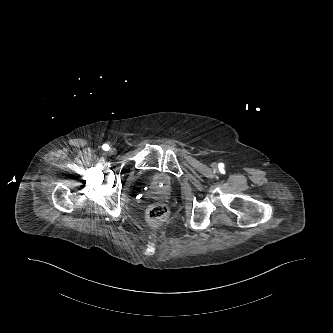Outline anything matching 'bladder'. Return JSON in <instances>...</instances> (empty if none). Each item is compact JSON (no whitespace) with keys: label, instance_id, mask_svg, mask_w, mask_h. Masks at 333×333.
Instances as JSON below:
<instances>
[{"label":"bladder","instance_id":"31cf9c89","mask_svg":"<svg viewBox=\"0 0 333 333\" xmlns=\"http://www.w3.org/2000/svg\"><path fill=\"white\" fill-rule=\"evenodd\" d=\"M152 185L154 189L162 192H169L172 189L171 178L162 172H155L152 175Z\"/></svg>","mask_w":333,"mask_h":333}]
</instances>
